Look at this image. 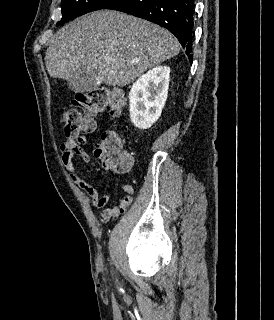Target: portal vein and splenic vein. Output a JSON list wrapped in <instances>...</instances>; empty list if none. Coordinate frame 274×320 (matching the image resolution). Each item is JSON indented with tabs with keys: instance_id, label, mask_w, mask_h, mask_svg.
<instances>
[{
	"instance_id": "1",
	"label": "portal vein and splenic vein",
	"mask_w": 274,
	"mask_h": 320,
	"mask_svg": "<svg viewBox=\"0 0 274 320\" xmlns=\"http://www.w3.org/2000/svg\"><path fill=\"white\" fill-rule=\"evenodd\" d=\"M106 62H111V60H109V58H106Z\"/></svg>"
}]
</instances>
